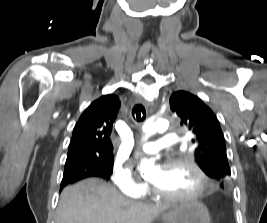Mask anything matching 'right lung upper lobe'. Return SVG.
Instances as JSON below:
<instances>
[{"label": "right lung upper lobe", "mask_w": 267, "mask_h": 223, "mask_svg": "<svg viewBox=\"0 0 267 223\" xmlns=\"http://www.w3.org/2000/svg\"><path fill=\"white\" fill-rule=\"evenodd\" d=\"M119 107V98L113 94L90 104L73 129L66 161L113 156L110 134Z\"/></svg>", "instance_id": "right-lung-upper-lobe-1"}]
</instances>
